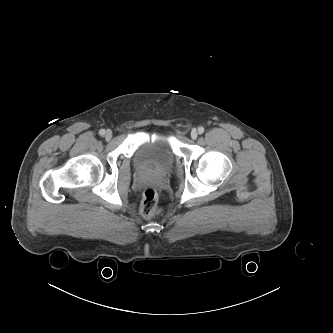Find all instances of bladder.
Wrapping results in <instances>:
<instances>
[{"label": "bladder", "mask_w": 333, "mask_h": 333, "mask_svg": "<svg viewBox=\"0 0 333 333\" xmlns=\"http://www.w3.org/2000/svg\"><path fill=\"white\" fill-rule=\"evenodd\" d=\"M175 154L167 134L157 133L141 144L134 153V163L138 169L145 172L164 173L170 170Z\"/></svg>", "instance_id": "31cf9c89"}]
</instances>
